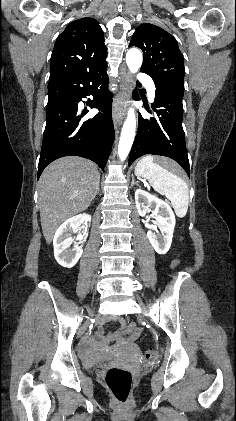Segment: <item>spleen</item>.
<instances>
[{
    "label": "spleen",
    "mask_w": 236,
    "mask_h": 421,
    "mask_svg": "<svg viewBox=\"0 0 236 421\" xmlns=\"http://www.w3.org/2000/svg\"><path fill=\"white\" fill-rule=\"evenodd\" d=\"M161 164H164V162H157L154 156L148 154V156H143V158L138 160L135 166V174L136 176L147 178L157 192L165 194L171 200L177 217L182 219V217L187 215L188 211V184L183 178L173 174V172H169Z\"/></svg>",
    "instance_id": "spleen-1"
}]
</instances>
